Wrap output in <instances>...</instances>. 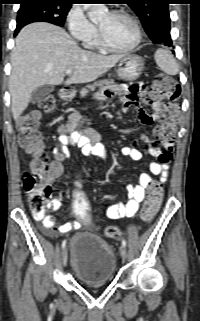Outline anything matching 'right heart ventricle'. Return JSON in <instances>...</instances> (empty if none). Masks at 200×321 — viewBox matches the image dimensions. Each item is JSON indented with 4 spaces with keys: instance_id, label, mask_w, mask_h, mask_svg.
Wrapping results in <instances>:
<instances>
[{
    "instance_id": "e07e8e85",
    "label": "right heart ventricle",
    "mask_w": 200,
    "mask_h": 321,
    "mask_svg": "<svg viewBox=\"0 0 200 321\" xmlns=\"http://www.w3.org/2000/svg\"><path fill=\"white\" fill-rule=\"evenodd\" d=\"M83 43H84L85 47H87L89 49H97L100 47L96 33L94 35H92L91 37L85 39L83 41Z\"/></svg>"
}]
</instances>
